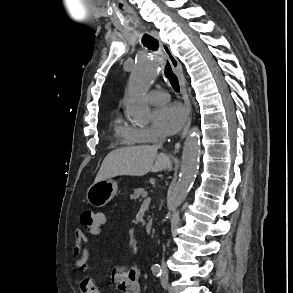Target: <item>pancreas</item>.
Instances as JSON below:
<instances>
[{
    "label": "pancreas",
    "mask_w": 293,
    "mask_h": 293,
    "mask_svg": "<svg viewBox=\"0 0 293 293\" xmlns=\"http://www.w3.org/2000/svg\"><path fill=\"white\" fill-rule=\"evenodd\" d=\"M145 189L144 188H137L134 189L133 194L130 195V199L131 200H137L139 199L140 196H142L145 193Z\"/></svg>",
    "instance_id": "pancreas-1"
}]
</instances>
